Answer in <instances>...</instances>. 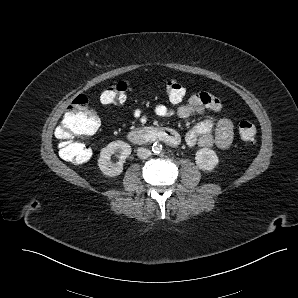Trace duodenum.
Masks as SVG:
<instances>
[{
	"label": "duodenum",
	"instance_id": "1",
	"mask_svg": "<svg viewBox=\"0 0 298 298\" xmlns=\"http://www.w3.org/2000/svg\"><path fill=\"white\" fill-rule=\"evenodd\" d=\"M127 138L131 143L137 145L163 142L170 146H177L180 143L178 133L169 128L135 129L127 134Z\"/></svg>",
	"mask_w": 298,
	"mask_h": 298
}]
</instances>
